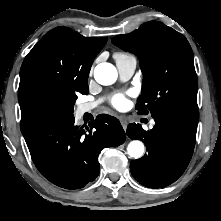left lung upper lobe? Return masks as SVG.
Here are the masks:
<instances>
[{
    "mask_svg": "<svg viewBox=\"0 0 221 221\" xmlns=\"http://www.w3.org/2000/svg\"><path fill=\"white\" fill-rule=\"evenodd\" d=\"M112 43L134 53L143 73L136 104L140 114L161 112L198 121L197 75L187 39L161 22L151 21Z\"/></svg>",
    "mask_w": 221,
    "mask_h": 221,
    "instance_id": "5c2ea615",
    "label": "left lung upper lobe"
}]
</instances>
